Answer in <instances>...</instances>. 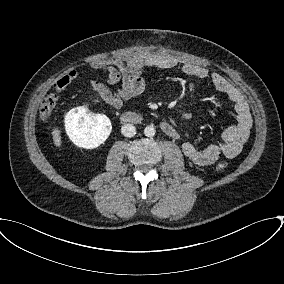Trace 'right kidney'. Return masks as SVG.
Masks as SVG:
<instances>
[{
  "label": "right kidney",
  "instance_id": "ca27d5eb",
  "mask_svg": "<svg viewBox=\"0 0 284 284\" xmlns=\"http://www.w3.org/2000/svg\"><path fill=\"white\" fill-rule=\"evenodd\" d=\"M65 129L76 146L94 149L106 141L112 125L106 115L94 114L84 106H79L66 114Z\"/></svg>",
  "mask_w": 284,
  "mask_h": 284
}]
</instances>
